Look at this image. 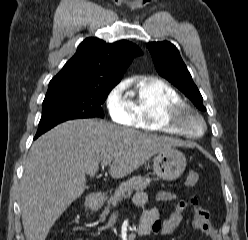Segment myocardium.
<instances>
[{
    "label": "myocardium",
    "instance_id": "1",
    "mask_svg": "<svg viewBox=\"0 0 248 240\" xmlns=\"http://www.w3.org/2000/svg\"><path fill=\"white\" fill-rule=\"evenodd\" d=\"M189 117L196 119L200 123L201 130L198 133L189 128L187 124ZM163 123L173 133L190 138L200 137L206 130V122L203 116L185 101L174 102L167 106L163 113Z\"/></svg>",
    "mask_w": 248,
    "mask_h": 240
}]
</instances>
